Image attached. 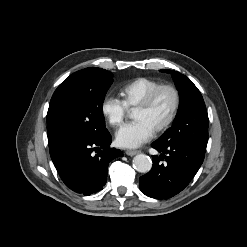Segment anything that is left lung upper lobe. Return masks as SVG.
<instances>
[{
	"instance_id": "left-lung-upper-lobe-1",
	"label": "left lung upper lobe",
	"mask_w": 247,
	"mask_h": 247,
	"mask_svg": "<svg viewBox=\"0 0 247 247\" xmlns=\"http://www.w3.org/2000/svg\"><path fill=\"white\" fill-rule=\"evenodd\" d=\"M161 71L172 74L180 94V105L172 127L157 141L163 143L189 141L206 148L209 119L200 91L185 75L173 70Z\"/></svg>"
}]
</instances>
